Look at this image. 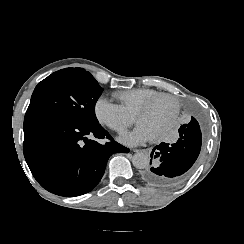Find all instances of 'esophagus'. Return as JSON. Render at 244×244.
Here are the masks:
<instances>
[{"label":"esophagus","instance_id":"esophagus-1","mask_svg":"<svg viewBox=\"0 0 244 244\" xmlns=\"http://www.w3.org/2000/svg\"><path fill=\"white\" fill-rule=\"evenodd\" d=\"M134 152H143L145 154H149L151 149L150 148H144V149H134Z\"/></svg>","mask_w":244,"mask_h":244}]
</instances>
